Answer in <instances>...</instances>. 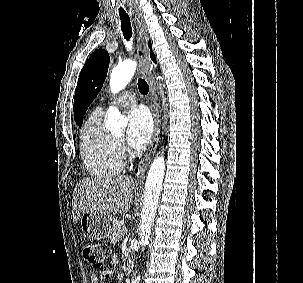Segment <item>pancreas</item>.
Wrapping results in <instances>:
<instances>
[{"instance_id":"1","label":"pancreas","mask_w":303,"mask_h":283,"mask_svg":"<svg viewBox=\"0 0 303 283\" xmlns=\"http://www.w3.org/2000/svg\"><path fill=\"white\" fill-rule=\"evenodd\" d=\"M123 226L120 224V220L114 219L112 223V230L110 232V240L112 243H116L122 236Z\"/></svg>"}]
</instances>
